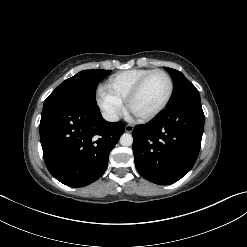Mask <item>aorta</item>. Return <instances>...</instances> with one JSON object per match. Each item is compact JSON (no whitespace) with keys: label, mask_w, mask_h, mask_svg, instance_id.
I'll list each match as a JSON object with an SVG mask.
<instances>
[{"label":"aorta","mask_w":247,"mask_h":247,"mask_svg":"<svg viewBox=\"0 0 247 247\" xmlns=\"http://www.w3.org/2000/svg\"><path fill=\"white\" fill-rule=\"evenodd\" d=\"M120 144L122 146H131L133 144V137L129 133H124L120 137Z\"/></svg>","instance_id":"aorta-1"}]
</instances>
